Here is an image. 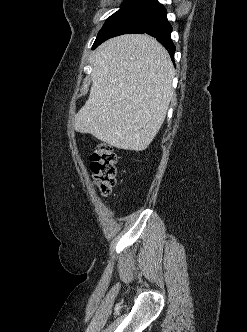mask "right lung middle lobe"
Returning <instances> with one entry per match:
<instances>
[{"mask_svg": "<svg viewBox=\"0 0 247 332\" xmlns=\"http://www.w3.org/2000/svg\"><path fill=\"white\" fill-rule=\"evenodd\" d=\"M148 2L145 0H124V2L121 5V8L115 12L113 15H111L99 31L97 38L95 40V43L93 46L97 44V41L101 37L102 33L113 23H115L117 20L125 16L126 14L134 11L135 9L147 4Z\"/></svg>", "mask_w": 247, "mask_h": 332, "instance_id": "1", "label": "right lung middle lobe"}]
</instances>
